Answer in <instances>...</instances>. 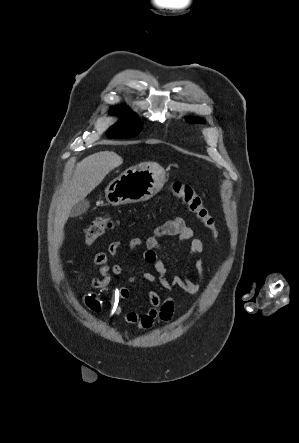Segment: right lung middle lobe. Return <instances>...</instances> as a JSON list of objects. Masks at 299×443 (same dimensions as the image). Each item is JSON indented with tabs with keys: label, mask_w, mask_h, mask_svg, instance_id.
<instances>
[{
	"label": "right lung middle lobe",
	"mask_w": 299,
	"mask_h": 443,
	"mask_svg": "<svg viewBox=\"0 0 299 443\" xmlns=\"http://www.w3.org/2000/svg\"><path fill=\"white\" fill-rule=\"evenodd\" d=\"M112 113L122 118L107 131L108 138H131L138 135L142 129L137 115L126 107H114ZM132 114V115H131Z\"/></svg>",
	"instance_id": "right-lung-middle-lobe-1"
}]
</instances>
